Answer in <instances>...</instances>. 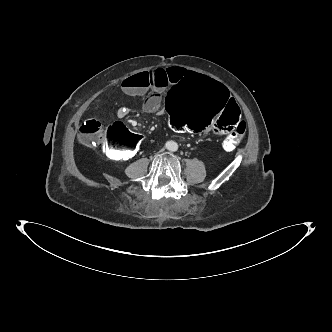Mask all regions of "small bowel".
Segmentation results:
<instances>
[{
  "instance_id": "c3829d8e",
  "label": "small bowel",
  "mask_w": 332,
  "mask_h": 332,
  "mask_svg": "<svg viewBox=\"0 0 332 332\" xmlns=\"http://www.w3.org/2000/svg\"><path fill=\"white\" fill-rule=\"evenodd\" d=\"M187 73L186 69L180 67L150 69L125 78L121 83V89L127 96H142L151 92L152 94L143 104V109L148 113H161L163 112L161 94L172 90ZM127 114V108H121L117 111L119 118H124ZM171 128L176 130L172 126Z\"/></svg>"
}]
</instances>
